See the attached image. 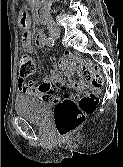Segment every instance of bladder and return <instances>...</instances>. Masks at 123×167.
Listing matches in <instances>:
<instances>
[{
	"instance_id": "obj_1",
	"label": "bladder",
	"mask_w": 123,
	"mask_h": 167,
	"mask_svg": "<svg viewBox=\"0 0 123 167\" xmlns=\"http://www.w3.org/2000/svg\"><path fill=\"white\" fill-rule=\"evenodd\" d=\"M52 108L50 101L31 97H19L15 102L16 113L31 123L44 125Z\"/></svg>"
}]
</instances>
